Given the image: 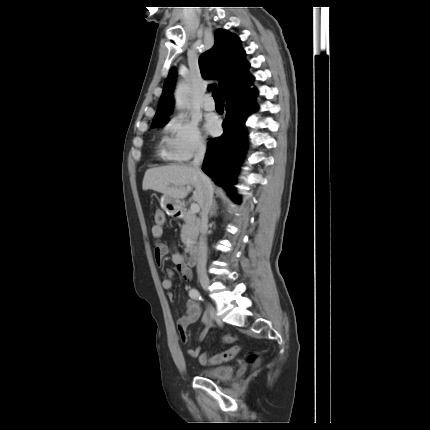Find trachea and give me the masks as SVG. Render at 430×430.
I'll use <instances>...</instances> for the list:
<instances>
[{"label":"trachea","mask_w":430,"mask_h":430,"mask_svg":"<svg viewBox=\"0 0 430 430\" xmlns=\"http://www.w3.org/2000/svg\"><path fill=\"white\" fill-rule=\"evenodd\" d=\"M213 97L216 101H222V89H215L213 92Z\"/></svg>","instance_id":"3493384b"}]
</instances>
